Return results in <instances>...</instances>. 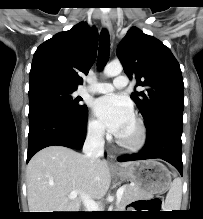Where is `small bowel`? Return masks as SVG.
<instances>
[{"mask_svg": "<svg viewBox=\"0 0 203 219\" xmlns=\"http://www.w3.org/2000/svg\"><path fill=\"white\" fill-rule=\"evenodd\" d=\"M139 207H140L139 204H136V205L133 206L134 209L139 208Z\"/></svg>", "mask_w": 203, "mask_h": 219, "instance_id": "c3829d8e", "label": "small bowel"}]
</instances>
